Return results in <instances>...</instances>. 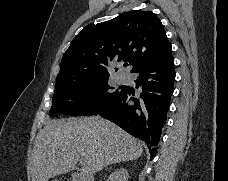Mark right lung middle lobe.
<instances>
[{
    "label": "right lung middle lobe",
    "mask_w": 228,
    "mask_h": 181,
    "mask_svg": "<svg viewBox=\"0 0 228 181\" xmlns=\"http://www.w3.org/2000/svg\"><path fill=\"white\" fill-rule=\"evenodd\" d=\"M108 77L75 81L57 85L50 113L71 116L95 115L117 101L124 93V87L112 91Z\"/></svg>",
    "instance_id": "dd1d6c3e"
}]
</instances>
